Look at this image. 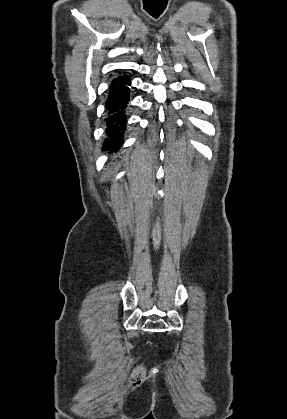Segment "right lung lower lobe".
<instances>
[{
  "label": "right lung lower lobe",
  "instance_id": "right-lung-lower-lobe-1",
  "mask_svg": "<svg viewBox=\"0 0 287 419\" xmlns=\"http://www.w3.org/2000/svg\"><path fill=\"white\" fill-rule=\"evenodd\" d=\"M130 85L131 80L122 74L112 80L108 89L105 102L106 138L103 147L110 151L120 148L124 142L123 134L126 130Z\"/></svg>",
  "mask_w": 287,
  "mask_h": 419
}]
</instances>
